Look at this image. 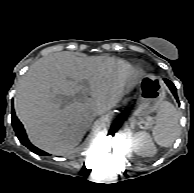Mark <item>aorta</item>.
<instances>
[{"instance_id":"obj_1","label":"aorta","mask_w":194,"mask_h":193,"mask_svg":"<svg viewBox=\"0 0 194 193\" xmlns=\"http://www.w3.org/2000/svg\"><path fill=\"white\" fill-rule=\"evenodd\" d=\"M107 120L109 123H117L118 121H121V119L117 113H110L107 116Z\"/></svg>"}]
</instances>
